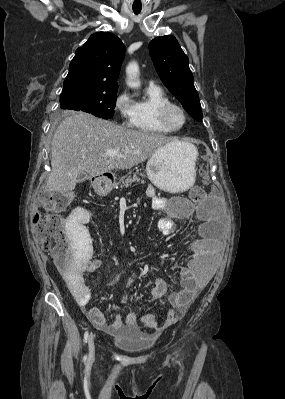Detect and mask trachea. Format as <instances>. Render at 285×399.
Instances as JSON below:
<instances>
[{
	"instance_id": "obj_1",
	"label": "trachea",
	"mask_w": 285,
	"mask_h": 399,
	"mask_svg": "<svg viewBox=\"0 0 285 399\" xmlns=\"http://www.w3.org/2000/svg\"><path fill=\"white\" fill-rule=\"evenodd\" d=\"M135 14H139L141 10H133Z\"/></svg>"
}]
</instances>
